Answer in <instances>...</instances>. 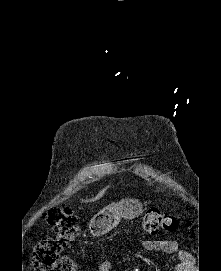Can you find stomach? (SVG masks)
<instances>
[{
    "mask_svg": "<svg viewBox=\"0 0 221 271\" xmlns=\"http://www.w3.org/2000/svg\"><path fill=\"white\" fill-rule=\"evenodd\" d=\"M131 197H124L119 203H110L101 211H98L92 217L88 227L92 235H104L109 229H113L121 221V217L125 219H133L142 213L141 205L131 203Z\"/></svg>",
    "mask_w": 221,
    "mask_h": 271,
    "instance_id": "0dacf381",
    "label": "stomach"
}]
</instances>
